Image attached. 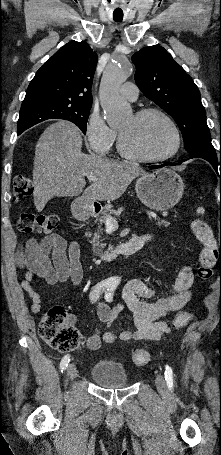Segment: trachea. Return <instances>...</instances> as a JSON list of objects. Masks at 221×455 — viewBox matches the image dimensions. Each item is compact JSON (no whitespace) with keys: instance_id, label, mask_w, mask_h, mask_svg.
<instances>
[{"instance_id":"trachea-1","label":"trachea","mask_w":221,"mask_h":455,"mask_svg":"<svg viewBox=\"0 0 221 455\" xmlns=\"http://www.w3.org/2000/svg\"><path fill=\"white\" fill-rule=\"evenodd\" d=\"M116 22H121L122 19H114Z\"/></svg>"}]
</instances>
